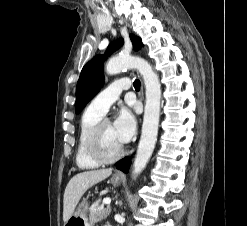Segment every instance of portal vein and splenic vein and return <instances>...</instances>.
Wrapping results in <instances>:
<instances>
[{"label": "portal vein and splenic vein", "instance_id": "obj_1", "mask_svg": "<svg viewBox=\"0 0 247 226\" xmlns=\"http://www.w3.org/2000/svg\"><path fill=\"white\" fill-rule=\"evenodd\" d=\"M103 203H104V204H110V203H111V199L108 198V197H107V198H104V199H103Z\"/></svg>", "mask_w": 247, "mask_h": 226}]
</instances>
